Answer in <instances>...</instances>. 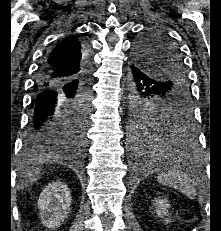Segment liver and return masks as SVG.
Returning <instances> with one entry per match:
<instances>
[{"mask_svg": "<svg viewBox=\"0 0 221 231\" xmlns=\"http://www.w3.org/2000/svg\"><path fill=\"white\" fill-rule=\"evenodd\" d=\"M52 157L53 156L50 154L42 155L40 161H45L47 159H51ZM39 174H40V170L38 169H32L28 171L24 176V179L20 183V189H23L24 187L33 184L38 179Z\"/></svg>", "mask_w": 221, "mask_h": 231, "instance_id": "obj_1", "label": "liver"}]
</instances>
